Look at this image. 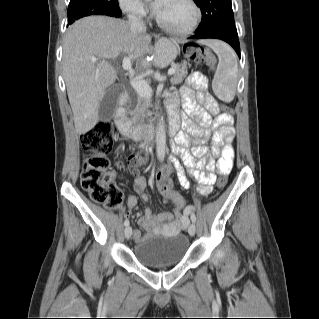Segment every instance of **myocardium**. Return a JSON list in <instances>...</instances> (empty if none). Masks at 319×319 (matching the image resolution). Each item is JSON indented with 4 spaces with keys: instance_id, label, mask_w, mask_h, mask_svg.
<instances>
[{
    "instance_id": "obj_1",
    "label": "myocardium",
    "mask_w": 319,
    "mask_h": 319,
    "mask_svg": "<svg viewBox=\"0 0 319 319\" xmlns=\"http://www.w3.org/2000/svg\"><path fill=\"white\" fill-rule=\"evenodd\" d=\"M185 2L192 8L193 10V18L190 23L184 27H174L166 22H164L158 15L155 13L154 18L159 27L166 30L167 32L178 35V36H185L190 34L198 25L200 18H201V9L197 5L194 0H185Z\"/></svg>"
}]
</instances>
